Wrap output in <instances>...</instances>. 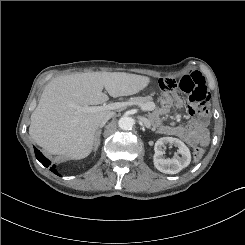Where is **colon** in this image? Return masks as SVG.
Listing matches in <instances>:
<instances>
[{"label": "colon", "instance_id": "obj_1", "mask_svg": "<svg viewBox=\"0 0 245 245\" xmlns=\"http://www.w3.org/2000/svg\"><path fill=\"white\" fill-rule=\"evenodd\" d=\"M160 92V102L163 107H169L173 103V97L171 96V90L170 91H163L159 88ZM205 154V151L201 147H197L193 150V158L195 161H200Z\"/></svg>", "mask_w": 245, "mask_h": 245}]
</instances>
